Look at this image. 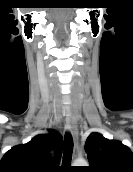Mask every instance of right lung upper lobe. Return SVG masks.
<instances>
[{
    "instance_id": "right-lung-upper-lobe-1",
    "label": "right lung upper lobe",
    "mask_w": 133,
    "mask_h": 172,
    "mask_svg": "<svg viewBox=\"0 0 133 172\" xmlns=\"http://www.w3.org/2000/svg\"><path fill=\"white\" fill-rule=\"evenodd\" d=\"M12 147L0 161V172H56L62 153V136L55 130ZM54 150L55 160L50 151Z\"/></svg>"
}]
</instances>
